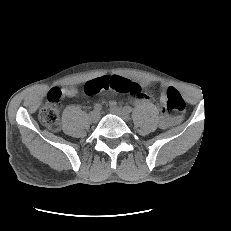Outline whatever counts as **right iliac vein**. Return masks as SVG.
<instances>
[{
    "instance_id": "63e3f726",
    "label": "right iliac vein",
    "mask_w": 231,
    "mask_h": 231,
    "mask_svg": "<svg viewBox=\"0 0 231 231\" xmlns=\"http://www.w3.org/2000/svg\"><path fill=\"white\" fill-rule=\"evenodd\" d=\"M89 118H90V121H91L92 123H97V122L99 121L100 114H99V112L92 111V112L89 114Z\"/></svg>"
}]
</instances>
